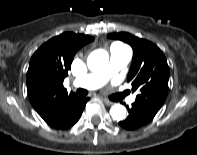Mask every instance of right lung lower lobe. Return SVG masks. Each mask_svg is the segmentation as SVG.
Instances as JSON below:
<instances>
[{
  "mask_svg": "<svg viewBox=\"0 0 197 155\" xmlns=\"http://www.w3.org/2000/svg\"><path fill=\"white\" fill-rule=\"evenodd\" d=\"M89 98L76 97L65 109L60 118L51 126L57 129H67L73 126L81 117L84 107Z\"/></svg>",
  "mask_w": 197,
  "mask_h": 155,
  "instance_id": "1",
  "label": "right lung lower lobe"
}]
</instances>
